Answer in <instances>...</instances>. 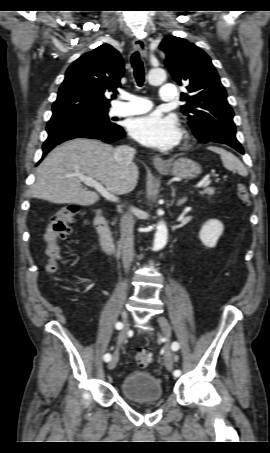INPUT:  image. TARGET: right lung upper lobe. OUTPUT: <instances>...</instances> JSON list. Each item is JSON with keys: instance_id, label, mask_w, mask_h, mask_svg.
<instances>
[{"instance_id": "1", "label": "right lung upper lobe", "mask_w": 270, "mask_h": 453, "mask_svg": "<svg viewBox=\"0 0 270 453\" xmlns=\"http://www.w3.org/2000/svg\"><path fill=\"white\" fill-rule=\"evenodd\" d=\"M123 72L122 57L109 44L83 54L66 71L52 107V118L108 110L110 103L104 93L116 92Z\"/></svg>"}]
</instances>
